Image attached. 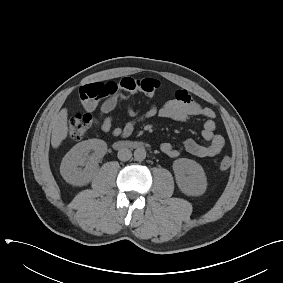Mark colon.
Returning a JSON list of instances; mask_svg holds the SVG:
<instances>
[{
    "label": "colon",
    "mask_w": 283,
    "mask_h": 283,
    "mask_svg": "<svg viewBox=\"0 0 283 283\" xmlns=\"http://www.w3.org/2000/svg\"><path fill=\"white\" fill-rule=\"evenodd\" d=\"M159 86V81L154 78L124 77L115 84L114 92L118 98L133 93L153 95L158 90ZM94 126L95 121L90 114H76L69 121L68 137L72 140L82 139ZM218 165L220 169L226 170L231 166V159L224 157L219 161Z\"/></svg>",
    "instance_id": "5ec220e1"
}]
</instances>
